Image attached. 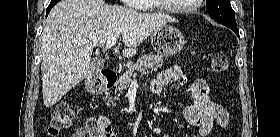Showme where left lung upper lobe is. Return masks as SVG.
I'll return each instance as SVG.
<instances>
[{"label": "left lung upper lobe", "mask_w": 280, "mask_h": 137, "mask_svg": "<svg viewBox=\"0 0 280 137\" xmlns=\"http://www.w3.org/2000/svg\"><path fill=\"white\" fill-rule=\"evenodd\" d=\"M206 10L218 23L225 26H237L230 0H207Z\"/></svg>", "instance_id": "5c2ea615"}]
</instances>
